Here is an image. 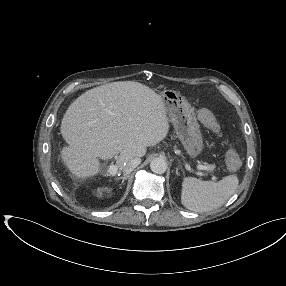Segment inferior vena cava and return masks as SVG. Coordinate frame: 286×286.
<instances>
[{
    "instance_id": "602c4592",
    "label": "inferior vena cava",
    "mask_w": 286,
    "mask_h": 286,
    "mask_svg": "<svg viewBox=\"0 0 286 286\" xmlns=\"http://www.w3.org/2000/svg\"><path fill=\"white\" fill-rule=\"evenodd\" d=\"M140 163H141V159L139 157L127 159L123 163V166H122L123 173L125 175L131 173Z\"/></svg>"
}]
</instances>
